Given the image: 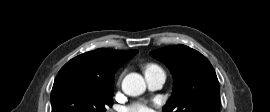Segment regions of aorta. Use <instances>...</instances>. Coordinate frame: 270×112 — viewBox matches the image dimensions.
Masks as SVG:
<instances>
[{
  "instance_id": "762f6f07",
  "label": "aorta",
  "mask_w": 270,
  "mask_h": 112,
  "mask_svg": "<svg viewBox=\"0 0 270 112\" xmlns=\"http://www.w3.org/2000/svg\"><path fill=\"white\" fill-rule=\"evenodd\" d=\"M122 89L127 95L138 96L146 90V83L140 74L130 73L123 79Z\"/></svg>"
}]
</instances>
